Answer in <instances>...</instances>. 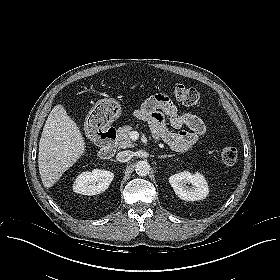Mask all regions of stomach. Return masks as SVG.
Returning <instances> with one entry per match:
<instances>
[{"instance_id": "obj_1", "label": "stomach", "mask_w": 280, "mask_h": 280, "mask_svg": "<svg viewBox=\"0 0 280 280\" xmlns=\"http://www.w3.org/2000/svg\"><path fill=\"white\" fill-rule=\"evenodd\" d=\"M92 111L94 118L98 116L107 123H112L120 116L122 110L121 105L114 99H103L95 105ZM89 122L90 120H88Z\"/></svg>"}]
</instances>
